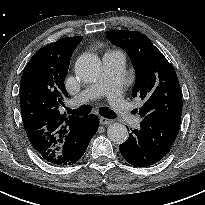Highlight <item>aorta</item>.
<instances>
[{
  "instance_id": "obj_1",
  "label": "aorta",
  "mask_w": 205,
  "mask_h": 205,
  "mask_svg": "<svg viewBox=\"0 0 205 205\" xmlns=\"http://www.w3.org/2000/svg\"><path fill=\"white\" fill-rule=\"evenodd\" d=\"M102 72L101 61L94 54H84L75 63L76 76L85 83H92L99 79ZM111 141L121 144L128 137L127 128L120 123H112L107 129Z\"/></svg>"
}]
</instances>
